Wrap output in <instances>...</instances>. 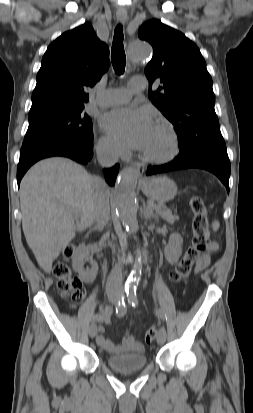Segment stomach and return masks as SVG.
<instances>
[{
	"label": "stomach",
	"mask_w": 253,
	"mask_h": 413,
	"mask_svg": "<svg viewBox=\"0 0 253 413\" xmlns=\"http://www.w3.org/2000/svg\"><path fill=\"white\" fill-rule=\"evenodd\" d=\"M143 193L159 203L172 200L177 193V185L166 176H156L141 182Z\"/></svg>",
	"instance_id": "1"
}]
</instances>
